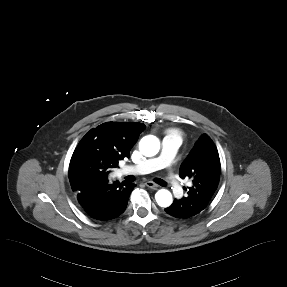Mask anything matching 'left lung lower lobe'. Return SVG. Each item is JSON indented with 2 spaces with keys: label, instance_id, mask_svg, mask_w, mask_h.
<instances>
[{
  "label": "left lung lower lobe",
  "instance_id": "0a47b994",
  "mask_svg": "<svg viewBox=\"0 0 287 287\" xmlns=\"http://www.w3.org/2000/svg\"><path fill=\"white\" fill-rule=\"evenodd\" d=\"M165 211L176 218H189L200 213L202 210L187 204L186 200L182 198L180 200L175 199L171 206L165 208Z\"/></svg>",
  "mask_w": 287,
  "mask_h": 287
}]
</instances>
